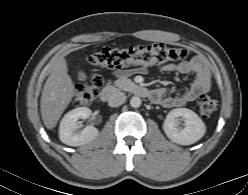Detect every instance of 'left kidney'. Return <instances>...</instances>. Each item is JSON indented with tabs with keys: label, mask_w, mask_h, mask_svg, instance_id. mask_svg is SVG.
I'll return each instance as SVG.
<instances>
[{
	"label": "left kidney",
	"mask_w": 248,
	"mask_h": 195,
	"mask_svg": "<svg viewBox=\"0 0 248 195\" xmlns=\"http://www.w3.org/2000/svg\"><path fill=\"white\" fill-rule=\"evenodd\" d=\"M179 119L184 121V128L178 126ZM163 130L172 142L179 145H190L204 136L206 126L194 111L187 108H176L167 114Z\"/></svg>",
	"instance_id": "1"
}]
</instances>
